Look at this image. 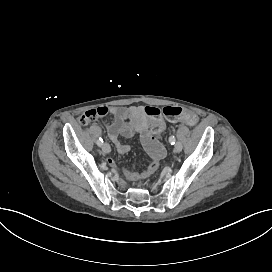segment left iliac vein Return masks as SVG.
I'll return each instance as SVG.
<instances>
[{
    "label": "left iliac vein",
    "instance_id": "obj_1",
    "mask_svg": "<svg viewBox=\"0 0 272 272\" xmlns=\"http://www.w3.org/2000/svg\"><path fill=\"white\" fill-rule=\"evenodd\" d=\"M174 151L177 152V153H179V152L182 151V145H181V143L177 142L175 144Z\"/></svg>",
    "mask_w": 272,
    "mask_h": 272
}]
</instances>
